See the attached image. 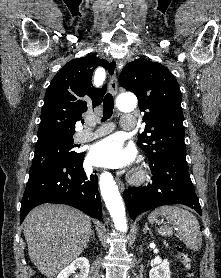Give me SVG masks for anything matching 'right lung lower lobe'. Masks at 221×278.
Returning a JSON list of instances; mask_svg holds the SVG:
<instances>
[{
	"mask_svg": "<svg viewBox=\"0 0 221 278\" xmlns=\"http://www.w3.org/2000/svg\"><path fill=\"white\" fill-rule=\"evenodd\" d=\"M84 156L80 153L76 158L51 163L29 174L21 201V222L31 209L43 203L67 204L103 221L98 176L96 171H84Z\"/></svg>",
	"mask_w": 221,
	"mask_h": 278,
	"instance_id": "obj_1",
	"label": "right lung lower lobe"
}]
</instances>
